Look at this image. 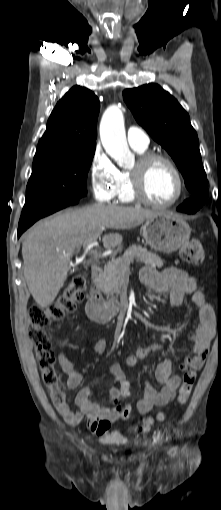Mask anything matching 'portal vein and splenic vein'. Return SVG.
<instances>
[{
	"label": "portal vein and splenic vein",
	"instance_id": "1",
	"mask_svg": "<svg viewBox=\"0 0 221 510\" xmlns=\"http://www.w3.org/2000/svg\"><path fill=\"white\" fill-rule=\"evenodd\" d=\"M102 230H104V227H102ZM99 236H100V233L95 234V235H94V236L90 239L89 243L87 244V248H89V249H90L93 245H95ZM89 253H90V255H91L92 257H94L95 259H99V258H101V252H100V251H97V250L91 249V250L89 251Z\"/></svg>",
	"mask_w": 221,
	"mask_h": 510
}]
</instances>
